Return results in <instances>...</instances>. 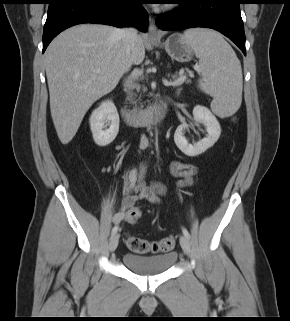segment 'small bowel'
Instances as JSON below:
<instances>
[{
	"instance_id": "obj_1",
	"label": "small bowel",
	"mask_w": 290,
	"mask_h": 321,
	"mask_svg": "<svg viewBox=\"0 0 290 321\" xmlns=\"http://www.w3.org/2000/svg\"><path fill=\"white\" fill-rule=\"evenodd\" d=\"M170 173L179 178L181 183H190L192 177L197 173V166L193 164H187L182 162H173L169 167ZM134 188L133 185H129L126 189L125 197L123 199L122 205L119 208L115 220L120 221L122 219H129L128 210L133 206L135 201L138 199H146L154 204L160 203V196L164 194L165 189L162 185L156 184L149 187L144 181V170L140 167L138 180L135 187V191L132 193L131 189Z\"/></svg>"
}]
</instances>
